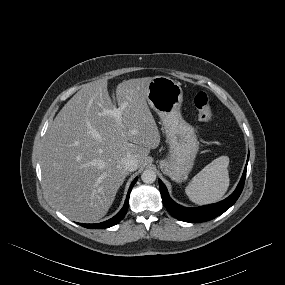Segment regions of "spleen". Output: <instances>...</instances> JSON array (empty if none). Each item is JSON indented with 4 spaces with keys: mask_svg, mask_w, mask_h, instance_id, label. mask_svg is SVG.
I'll use <instances>...</instances> for the list:
<instances>
[{
    "mask_svg": "<svg viewBox=\"0 0 285 285\" xmlns=\"http://www.w3.org/2000/svg\"><path fill=\"white\" fill-rule=\"evenodd\" d=\"M228 166V156H220L206 165L186 186L189 199L198 205L219 201L229 187Z\"/></svg>",
    "mask_w": 285,
    "mask_h": 285,
    "instance_id": "spleen-1",
    "label": "spleen"
}]
</instances>
